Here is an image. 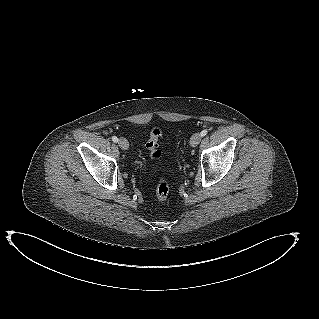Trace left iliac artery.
Masks as SVG:
<instances>
[{"label": "left iliac artery", "instance_id": "left-iliac-artery-1", "mask_svg": "<svg viewBox=\"0 0 319 319\" xmlns=\"http://www.w3.org/2000/svg\"><path fill=\"white\" fill-rule=\"evenodd\" d=\"M207 133H208V131L206 129H204V130L201 131L200 134L203 137V136L207 135Z\"/></svg>", "mask_w": 319, "mask_h": 319}]
</instances>
